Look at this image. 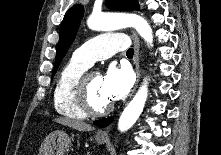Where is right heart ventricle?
<instances>
[{"label":"right heart ventricle","mask_w":221,"mask_h":155,"mask_svg":"<svg viewBox=\"0 0 221 155\" xmlns=\"http://www.w3.org/2000/svg\"><path fill=\"white\" fill-rule=\"evenodd\" d=\"M88 66L72 58L60 71L53 92L56 111L66 117L84 119L86 114L78 107L74 99V86Z\"/></svg>","instance_id":"obj_1"}]
</instances>
